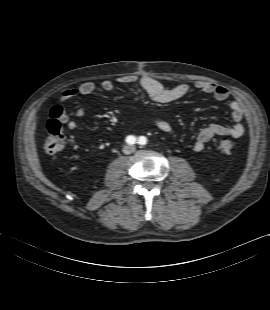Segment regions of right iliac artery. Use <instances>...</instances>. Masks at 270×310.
<instances>
[{"label":"right iliac artery","mask_w":270,"mask_h":310,"mask_svg":"<svg viewBox=\"0 0 270 310\" xmlns=\"http://www.w3.org/2000/svg\"><path fill=\"white\" fill-rule=\"evenodd\" d=\"M126 142H127L128 144H130V145H133V144L136 143V137L130 135V136H128V137L126 138Z\"/></svg>","instance_id":"82829eb1"}]
</instances>
